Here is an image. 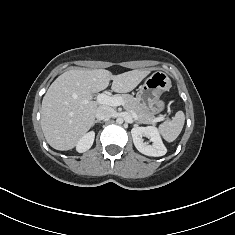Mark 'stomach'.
I'll return each mask as SVG.
<instances>
[{
    "label": "stomach",
    "mask_w": 235,
    "mask_h": 235,
    "mask_svg": "<svg viewBox=\"0 0 235 235\" xmlns=\"http://www.w3.org/2000/svg\"><path fill=\"white\" fill-rule=\"evenodd\" d=\"M171 88V80L163 71H156L138 88L136 99L153 114L160 113L165 103L160 99L163 92Z\"/></svg>",
    "instance_id": "0dacf381"
}]
</instances>
